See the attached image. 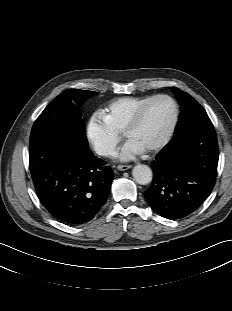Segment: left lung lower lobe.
<instances>
[{"instance_id":"0a47b994","label":"left lung lower lobe","mask_w":232,"mask_h":311,"mask_svg":"<svg viewBox=\"0 0 232 311\" xmlns=\"http://www.w3.org/2000/svg\"><path fill=\"white\" fill-rule=\"evenodd\" d=\"M218 156L216 133L209 117L176 130L151 163L153 182L144 193L150 207L167 219L191 214L213 190Z\"/></svg>"}]
</instances>
